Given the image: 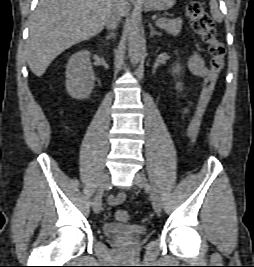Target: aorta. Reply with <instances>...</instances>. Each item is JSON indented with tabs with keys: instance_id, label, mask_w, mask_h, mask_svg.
I'll list each match as a JSON object with an SVG mask.
<instances>
[{
	"instance_id": "1",
	"label": "aorta",
	"mask_w": 254,
	"mask_h": 267,
	"mask_svg": "<svg viewBox=\"0 0 254 267\" xmlns=\"http://www.w3.org/2000/svg\"><path fill=\"white\" fill-rule=\"evenodd\" d=\"M144 50V40L140 30V23L136 17L130 21L128 32V55L133 65H137Z\"/></svg>"
}]
</instances>
